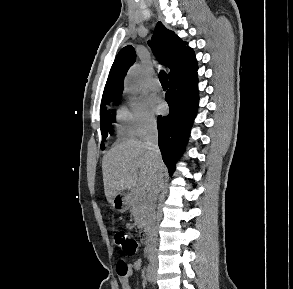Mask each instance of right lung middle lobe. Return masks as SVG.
Listing matches in <instances>:
<instances>
[{
  "label": "right lung middle lobe",
  "instance_id": "dd1d6c3e",
  "mask_svg": "<svg viewBox=\"0 0 293 289\" xmlns=\"http://www.w3.org/2000/svg\"><path fill=\"white\" fill-rule=\"evenodd\" d=\"M115 98H118V97L111 98L101 103L100 123H101V134L103 139H106L108 136V133H110L111 123L115 122V117H116L115 113L111 114L107 111H103V109L106 104H109L110 101H112ZM101 149H104L103 142L101 143Z\"/></svg>",
  "mask_w": 293,
  "mask_h": 289
}]
</instances>
